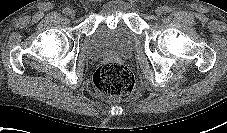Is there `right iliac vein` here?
Listing matches in <instances>:
<instances>
[{
    "label": "right iliac vein",
    "instance_id": "obj_1",
    "mask_svg": "<svg viewBox=\"0 0 227 133\" xmlns=\"http://www.w3.org/2000/svg\"><path fill=\"white\" fill-rule=\"evenodd\" d=\"M75 15H76L75 11H74V10H70L69 16H70L71 18H74Z\"/></svg>",
    "mask_w": 227,
    "mask_h": 133
}]
</instances>
